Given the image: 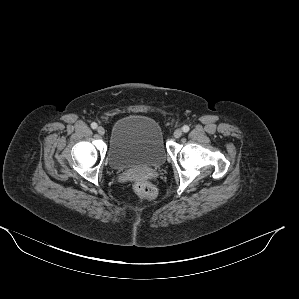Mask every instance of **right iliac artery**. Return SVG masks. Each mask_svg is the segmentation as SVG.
Returning <instances> with one entry per match:
<instances>
[{
    "mask_svg": "<svg viewBox=\"0 0 299 299\" xmlns=\"http://www.w3.org/2000/svg\"><path fill=\"white\" fill-rule=\"evenodd\" d=\"M97 126H98V125H97L95 122H93V123L91 124V128H92V129H96Z\"/></svg>",
    "mask_w": 299,
    "mask_h": 299,
    "instance_id": "obj_1",
    "label": "right iliac artery"
}]
</instances>
